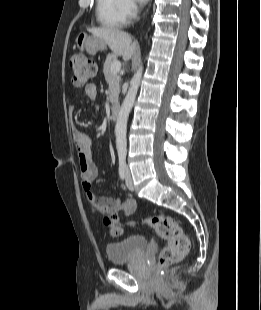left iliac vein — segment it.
<instances>
[{
  "label": "left iliac vein",
  "mask_w": 261,
  "mask_h": 310,
  "mask_svg": "<svg viewBox=\"0 0 261 310\" xmlns=\"http://www.w3.org/2000/svg\"><path fill=\"white\" fill-rule=\"evenodd\" d=\"M126 185L129 188V190L133 191L134 190V185L131 177V172L129 167H126Z\"/></svg>",
  "instance_id": "4c4485c4"
}]
</instances>
